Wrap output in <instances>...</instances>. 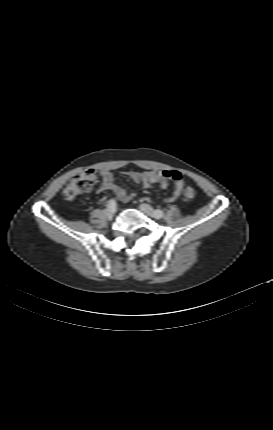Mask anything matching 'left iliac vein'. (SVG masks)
<instances>
[{
	"label": "left iliac vein",
	"instance_id": "4c4485c4",
	"mask_svg": "<svg viewBox=\"0 0 273 430\" xmlns=\"http://www.w3.org/2000/svg\"><path fill=\"white\" fill-rule=\"evenodd\" d=\"M139 208L146 215H148V216H150L152 218L158 219L157 216H156V214H155V211L152 209V207L150 205L143 203V204L139 205Z\"/></svg>",
	"mask_w": 273,
	"mask_h": 430
}]
</instances>
